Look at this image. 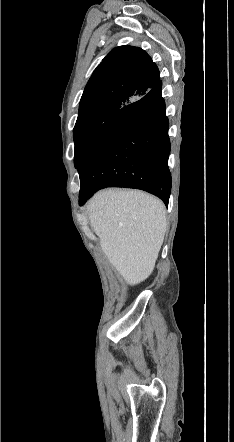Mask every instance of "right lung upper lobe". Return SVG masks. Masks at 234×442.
I'll return each mask as SVG.
<instances>
[{
    "label": "right lung upper lobe",
    "mask_w": 234,
    "mask_h": 442,
    "mask_svg": "<svg viewBox=\"0 0 234 442\" xmlns=\"http://www.w3.org/2000/svg\"><path fill=\"white\" fill-rule=\"evenodd\" d=\"M159 78L156 64L144 50L127 45L114 48L91 75L77 120L99 112L119 111L144 96Z\"/></svg>",
    "instance_id": "cb5924a9"
}]
</instances>
